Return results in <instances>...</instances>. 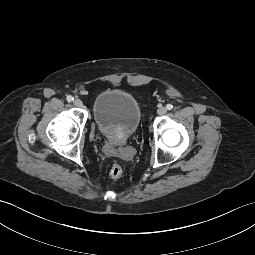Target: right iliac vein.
Segmentation results:
<instances>
[{
    "mask_svg": "<svg viewBox=\"0 0 255 255\" xmlns=\"http://www.w3.org/2000/svg\"><path fill=\"white\" fill-rule=\"evenodd\" d=\"M73 104L76 106V107H82L83 106V102L80 100V99H75L73 101Z\"/></svg>",
    "mask_w": 255,
    "mask_h": 255,
    "instance_id": "right-iliac-vein-1",
    "label": "right iliac vein"
}]
</instances>
